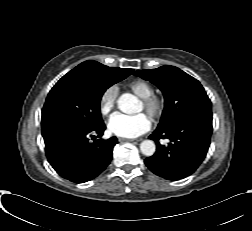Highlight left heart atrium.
<instances>
[{
  "label": "left heart atrium",
  "mask_w": 252,
  "mask_h": 231,
  "mask_svg": "<svg viewBox=\"0 0 252 231\" xmlns=\"http://www.w3.org/2000/svg\"><path fill=\"white\" fill-rule=\"evenodd\" d=\"M151 127L149 117L144 114H114L108 123L111 133L122 138H135L146 133Z\"/></svg>",
  "instance_id": "obj_1"
}]
</instances>
